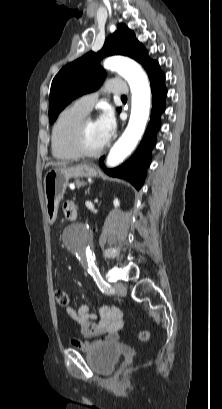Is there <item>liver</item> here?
Segmentation results:
<instances>
[{
    "instance_id": "6515ba94",
    "label": "liver",
    "mask_w": 222,
    "mask_h": 409,
    "mask_svg": "<svg viewBox=\"0 0 222 409\" xmlns=\"http://www.w3.org/2000/svg\"><path fill=\"white\" fill-rule=\"evenodd\" d=\"M65 165H66V163H64V162H49V163L46 164V167H48V166H65Z\"/></svg>"
}]
</instances>
